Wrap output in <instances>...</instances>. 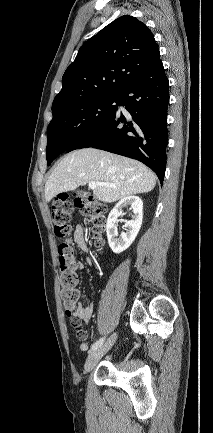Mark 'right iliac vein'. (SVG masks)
<instances>
[{"label":"right iliac vein","instance_id":"right-iliac-vein-1","mask_svg":"<svg viewBox=\"0 0 213 433\" xmlns=\"http://www.w3.org/2000/svg\"><path fill=\"white\" fill-rule=\"evenodd\" d=\"M117 338L116 333L112 334L110 338L100 347L90 352L88 355L85 365H84V371L90 372L96 364L99 362V360L110 350V348L113 346L115 340Z\"/></svg>","mask_w":213,"mask_h":433}]
</instances>
